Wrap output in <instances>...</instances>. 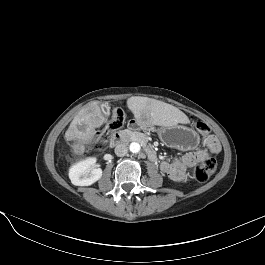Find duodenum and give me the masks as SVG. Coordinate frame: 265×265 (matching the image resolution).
<instances>
[{
    "mask_svg": "<svg viewBox=\"0 0 265 265\" xmlns=\"http://www.w3.org/2000/svg\"><path fill=\"white\" fill-rule=\"evenodd\" d=\"M130 136H133L138 141H143V137L141 135L133 134L131 131H128V130H123V131H120V132H115L111 136L110 144L112 146H116V145L120 144L123 140H125L126 138H128ZM146 151H147L148 157L152 161L157 162L158 156H157L156 152L153 149H151L150 147H147Z\"/></svg>",
    "mask_w": 265,
    "mask_h": 265,
    "instance_id": "1",
    "label": "duodenum"
}]
</instances>
